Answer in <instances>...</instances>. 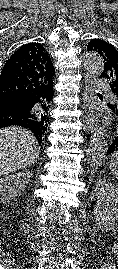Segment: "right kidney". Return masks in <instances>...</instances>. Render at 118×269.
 I'll list each match as a JSON object with an SVG mask.
<instances>
[{
	"label": "right kidney",
	"mask_w": 118,
	"mask_h": 269,
	"mask_svg": "<svg viewBox=\"0 0 118 269\" xmlns=\"http://www.w3.org/2000/svg\"><path fill=\"white\" fill-rule=\"evenodd\" d=\"M31 177L32 173L30 171H22L6 176L0 182L1 201L8 204L11 199L24 192Z\"/></svg>",
	"instance_id": "ca27d5eb"
}]
</instances>
